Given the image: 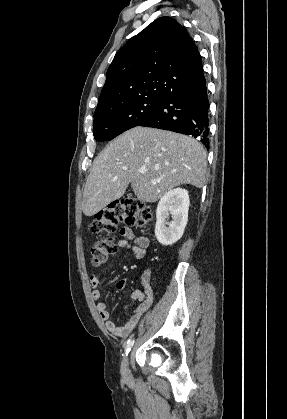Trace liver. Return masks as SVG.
<instances>
[{
	"instance_id": "1",
	"label": "liver",
	"mask_w": 287,
	"mask_h": 419,
	"mask_svg": "<svg viewBox=\"0 0 287 419\" xmlns=\"http://www.w3.org/2000/svg\"><path fill=\"white\" fill-rule=\"evenodd\" d=\"M204 147L194 138L155 128L135 127L111 141L95 158L87 178L82 211L93 216L131 187L143 202H156L182 184L206 182ZM140 169L146 172L141 174Z\"/></svg>"
}]
</instances>
